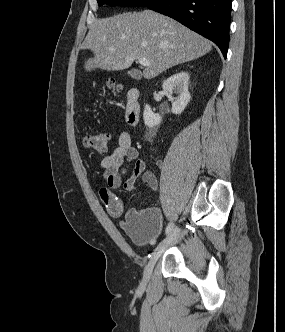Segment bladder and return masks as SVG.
<instances>
[{"mask_svg": "<svg viewBox=\"0 0 285 332\" xmlns=\"http://www.w3.org/2000/svg\"><path fill=\"white\" fill-rule=\"evenodd\" d=\"M162 228L157 208L146 207L131 211L124 221V229L132 242L141 247L150 246L157 240Z\"/></svg>", "mask_w": 285, "mask_h": 332, "instance_id": "bladder-1", "label": "bladder"}]
</instances>
